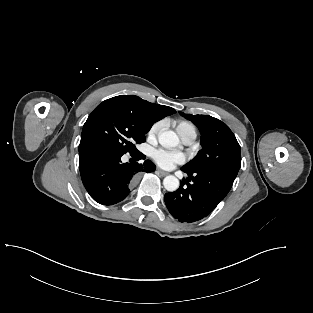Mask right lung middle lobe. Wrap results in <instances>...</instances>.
<instances>
[{"instance_id": "dd1d6c3e", "label": "right lung middle lobe", "mask_w": 313, "mask_h": 313, "mask_svg": "<svg viewBox=\"0 0 313 313\" xmlns=\"http://www.w3.org/2000/svg\"><path fill=\"white\" fill-rule=\"evenodd\" d=\"M152 123L129 103L108 99L90 114L82 130L84 147L105 146L133 154L146 140Z\"/></svg>"}]
</instances>
